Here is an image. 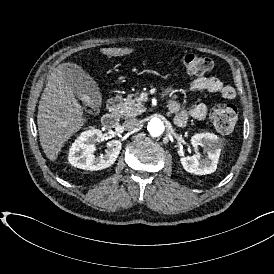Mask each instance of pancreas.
Segmentation results:
<instances>
[{
  "instance_id": "pancreas-1",
  "label": "pancreas",
  "mask_w": 274,
  "mask_h": 274,
  "mask_svg": "<svg viewBox=\"0 0 274 274\" xmlns=\"http://www.w3.org/2000/svg\"><path fill=\"white\" fill-rule=\"evenodd\" d=\"M143 111H145V108L134 94H129L127 96L126 101L122 104L120 109L121 115L124 117H136Z\"/></svg>"
}]
</instances>
